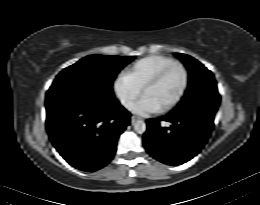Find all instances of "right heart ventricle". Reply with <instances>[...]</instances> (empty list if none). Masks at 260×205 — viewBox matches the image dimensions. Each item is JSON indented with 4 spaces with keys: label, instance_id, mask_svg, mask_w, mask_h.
<instances>
[{
    "label": "right heart ventricle",
    "instance_id": "1",
    "mask_svg": "<svg viewBox=\"0 0 260 205\" xmlns=\"http://www.w3.org/2000/svg\"><path fill=\"white\" fill-rule=\"evenodd\" d=\"M175 63L178 62L168 57L149 56L139 60L125 77L137 88L142 89L151 77Z\"/></svg>",
    "mask_w": 260,
    "mask_h": 205
}]
</instances>
